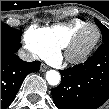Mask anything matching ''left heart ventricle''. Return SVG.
<instances>
[{"label": "left heart ventricle", "mask_w": 109, "mask_h": 109, "mask_svg": "<svg viewBox=\"0 0 109 109\" xmlns=\"http://www.w3.org/2000/svg\"><path fill=\"white\" fill-rule=\"evenodd\" d=\"M97 31L93 27L87 28L82 34L77 46L74 49V53H81L86 50L96 39Z\"/></svg>", "instance_id": "left-heart-ventricle-1"}]
</instances>
